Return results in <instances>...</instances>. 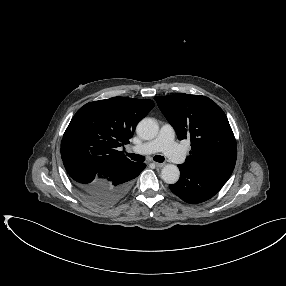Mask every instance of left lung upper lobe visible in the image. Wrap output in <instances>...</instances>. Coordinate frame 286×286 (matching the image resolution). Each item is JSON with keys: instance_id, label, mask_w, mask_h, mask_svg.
<instances>
[{"instance_id": "1", "label": "left lung upper lobe", "mask_w": 286, "mask_h": 286, "mask_svg": "<svg viewBox=\"0 0 286 286\" xmlns=\"http://www.w3.org/2000/svg\"><path fill=\"white\" fill-rule=\"evenodd\" d=\"M154 99L179 139L191 141L184 165L226 182L235 167L237 146L223 110L200 95L173 94Z\"/></svg>"}]
</instances>
